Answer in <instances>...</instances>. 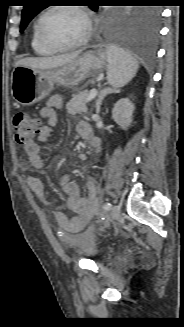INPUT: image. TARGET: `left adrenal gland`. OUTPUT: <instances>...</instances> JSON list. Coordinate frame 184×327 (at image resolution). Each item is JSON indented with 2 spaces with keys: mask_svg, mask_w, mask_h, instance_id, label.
Listing matches in <instances>:
<instances>
[{
  "mask_svg": "<svg viewBox=\"0 0 184 327\" xmlns=\"http://www.w3.org/2000/svg\"><path fill=\"white\" fill-rule=\"evenodd\" d=\"M118 92H119V90L111 89V88H103V89H101L100 92H99V94H98V99H97L96 105H95V107H96V113L97 114L100 113V107L102 105V101H103V99L107 95H109L111 93H118Z\"/></svg>",
  "mask_w": 184,
  "mask_h": 327,
  "instance_id": "left-adrenal-gland-1",
  "label": "left adrenal gland"
}]
</instances>
